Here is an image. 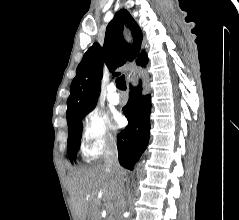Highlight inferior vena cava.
I'll use <instances>...</instances> for the list:
<instances>
[{"instance_id": "602c4592", "label": "inferior vena cava", "mask_w": 239, "mask_h": 220, "mask_svg": "<svg viewBox=\"0 0 239 220\" xmlns=\"http://www.w3.org/2000/svg\"><path fill=\"white\" fill-rule=\"evenodd\" d=\"M104 162L105 165L113 169L116 173L121 172V167L118 162V150H117V144L114 139H110L107 142V145L105 147V155H104ZM118 188L122 194L123 199V206L125 205V192H124V181L120 180L118 183ZM122 220V218H121Z\"/></svg>"}]
</instances>
